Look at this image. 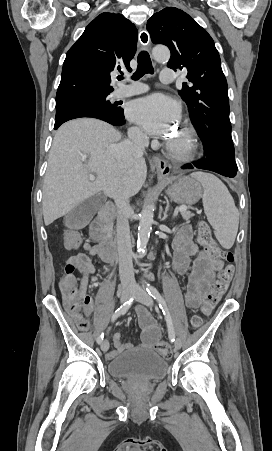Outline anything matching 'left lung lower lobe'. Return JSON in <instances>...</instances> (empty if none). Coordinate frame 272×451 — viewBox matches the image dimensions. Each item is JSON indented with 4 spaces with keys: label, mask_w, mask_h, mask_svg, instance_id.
I'll use <instances>...</instances> for the list:
<instances>
[{
    "label": "left lung lower lobe",
    "mask_w": 272,
    "mask_h": 451,
    "mask_svg": "<svg viewBox=\"0 0 272 451\" xmlns=\"http://www.w3.org/2000/svg\"><path fill=\"white\" fill-rule=\"evenodd\" d=\"M194 166L197 168L214 171L230 178L235 177L237 174V168L215 157L207 156L199 164L187 165L182 168H193Z\"/></svg>",
    "instance_id": "obj_1"
}]
</instances>
